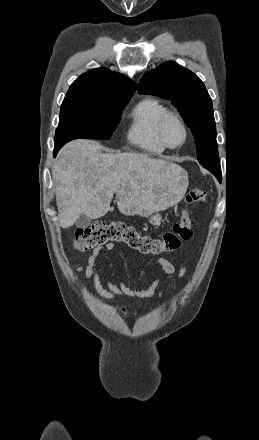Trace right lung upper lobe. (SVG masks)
Instances as JSON below:
<instances>
[{
  "instance_id": "right-lung-upper-lobe-1",
  "label": "right lung upper lobe",
  "mask_w": 259,
  "mask_h": 440,
  "mask_svg": "<svg viewBox=\"0 0 259 440\" xmlns=\"http://www.w3.org/2000/svg\"><path fill=\"white\" fill-rule=\"evenodd\" d=\"M136 87L135 82L122 74L106 68H96L75 80L64 100L108 105L131 98Z\"/></svg>"
}]
</instances>
